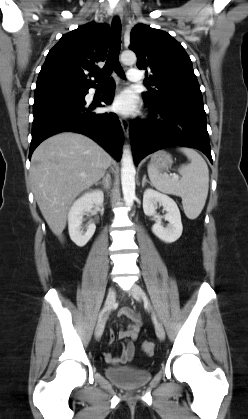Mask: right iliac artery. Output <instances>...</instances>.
Listing matches in <instances>:
<instances>
[{
    "label": "right iliac artery",
    "instance_id": "1",
    "mask_svg": "<svg viewBox=\"0 0 248 419\" xmlns=\"http://www.w3.org/2000/svg\"><path fill=\"white\" fill-rule=\"evenodd\" d=\"M106 311V309L104 308L101 312H100V314H99V320L101 319V317H102V315L104 314V312Z\"/></svg>",
    "mask_w": 248,
    "mask_h": 419
}]
</instances>
